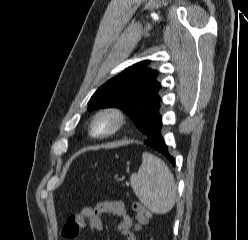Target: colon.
Wrapping results in <instances>:
<instances>
[{"label": "colon", "mask_w": 248, "mask_h": 240, "mask_svg": "<svg viewBox=\"0 0 248 240\" xmlns=\"http://www.w3.org/2000/svg\"><path fill=\"white\" fill-rule=\"evenodd\" d=\"M133 210L136 214V219L138 222V228H142L143 226H145L150 219V213L149 211L143 206L141 205L139 202H133L132 204Z\"/></svg>", "instance_id": "obj_1"}]
</instances>
